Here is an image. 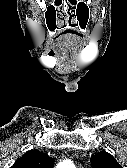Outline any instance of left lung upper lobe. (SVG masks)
<instances>
[{
    "label": "left lung upper lobe",
    "instance_id": "5c2ea615",
    "mask_svg": "<svg viewBox=\"0 0 127 168\" xmlns=\"http://www.w3.org/2000/svg\"><path fill=\"white\" fill-rule=\"evenodd\" d=\"M92 168H122L112 155L106 151L99 152L91 158Z\"/></svg>",
    "mask_w": 127,
    "mask_h": 168
}]
</instances>
